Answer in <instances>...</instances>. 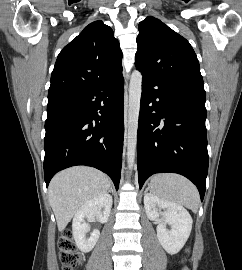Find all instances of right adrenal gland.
I'll return each mask as SVG.
<instances>
[{"label":"right adrenal gland","instance_id":"obj_1","mask_svg":"<svg viewBox=\"0 0 242 270\" xmlns=\"http://www.w3.org/2000/svg\"><path fill=\"white\" fill-rule=\"evenodd\" d=\"M109 192H112L113 193L112 189H110Z\"/></svg>","mask_w":242,"mask_h":270}]
</instances>
